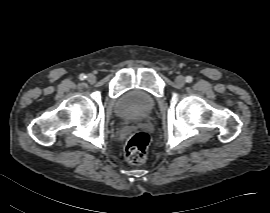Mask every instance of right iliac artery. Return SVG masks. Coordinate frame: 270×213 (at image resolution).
Wrapping results in <instances>:
<instances>
[{
  "label": "right iliac artery",
  "instance_id": "obj_1",
  "mask_svg": "<svg viewBox=\"0 0 270 213\" xmlns=\"http://www.w3.org/2000/svg\"><path fill=\"white\" fill-rule=\"evenodd\" d=\"M79 78H80V80H85V78H86V75H84V74H81V75L79 76Z\"/></svg>",
  "mask_w": 270,
  "mask_h": 213
}]
</instances>
